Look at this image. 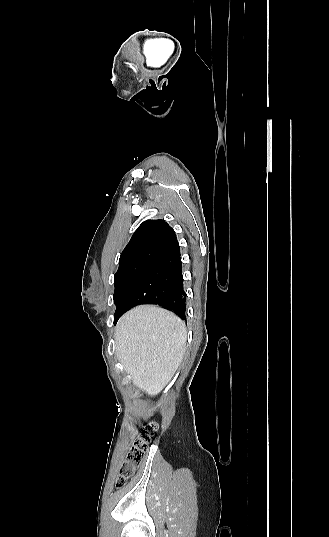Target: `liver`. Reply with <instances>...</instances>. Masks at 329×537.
Listing matches in <instances>:
<instances>
[{
  "label": "liver",
  "instance_id": "1",
  "mask_svg": "<svg viewBox=\"0 0 329 537\" xmlns=\"http://www.w3.org/2000/svg\"><path fill=\"white\" fill-rule=\"evenodd\" d=\"M114 336L117 357L133 384L150 396L160 393L182 362L185 323L165 309L141 305L120 318Z\"/></svg>",
  "mask_w": 329,
  "mask_h": 537
}]
</instances>
